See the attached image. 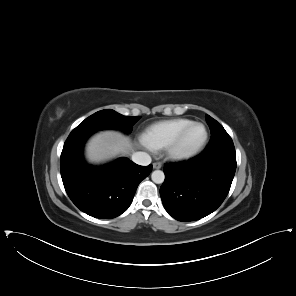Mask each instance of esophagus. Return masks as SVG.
Here are the masks:
<instances>
[{
    "mask_svg": "<svg viewBox=\"0 0 296 296\" xmlns=\"http://www.w3.org/2000/svg\"><path fill=\"white\" fill-rule=\"evenodd\" d=\"M162 167V164L160 162L153 163V169H160Z\"/></svg>",
    "mask_w": 296,
    "mask_h": 296,
    "instance_id": "esophagus-1",
    "label": "esophagus"
}]
</instances>
